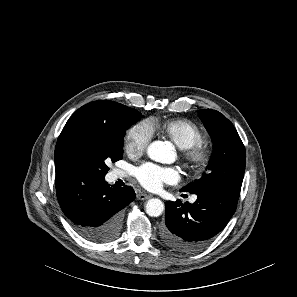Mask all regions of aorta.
Returning a JSON list of instances; mask_svg holds the SVG:
<instances>
[{
    "label": "aorta",
    "instance_id": "762f6f07",
    "mask_svg": "<svg viewBox=\"0 0 297 297\" xmlns=\"http://www.w3.org/2000/svg\"><path fill=\"white\" fill-rule=\"evenodd\" d=\"M149 158L156 162L167 163L171 156V148L168 144L161 141L152 142L147 149ZM164 210L163 202L158 198L148 200L145 211L151 217H158Z\"/></svg>",
    "mask_w": 297,
    "mask_h": 297
}]
</instances>
